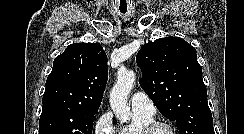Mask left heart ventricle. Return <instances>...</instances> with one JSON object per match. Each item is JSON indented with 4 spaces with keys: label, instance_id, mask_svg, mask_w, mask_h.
<instances>
[{
    "label": "left heart ventricle",
    "instance_id": "b2bd125f",
    "mask_svg": "<svg viewBox=\"0 0 244 134\" xmlns=\"http://www.w3.org/2000/svg\"><path fill=\"white\" fill-rule=\"evenodd\" d=\"M155 134H171L167 129L161 128L156 131Z\"/></svg>",
    "mask_w": 244,
    "mask_h": 134
}]
</instances>
